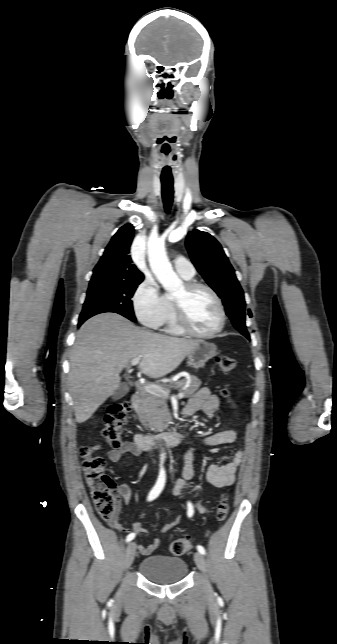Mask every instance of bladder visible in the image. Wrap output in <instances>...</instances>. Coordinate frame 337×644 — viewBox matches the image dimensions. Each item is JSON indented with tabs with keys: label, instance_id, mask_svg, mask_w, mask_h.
<instances>
[{
	"label": "bladder",
	"instance_id": "bladder-1",
	"mask_svg": "<svg viewBox=\"0 0 337 644\" xmlns=\"http://www.w3.org/2000/svg\"><path fill=\"white\" fill-rule=\"evenodd\" d=\"M139 572L147 580L158 584H171L183 580L188 572L187 563L177 557L152 555L139 564Z\"/></svg>",
	"mask_w": 337,
	"mask_h": 644
}]
</instances>
